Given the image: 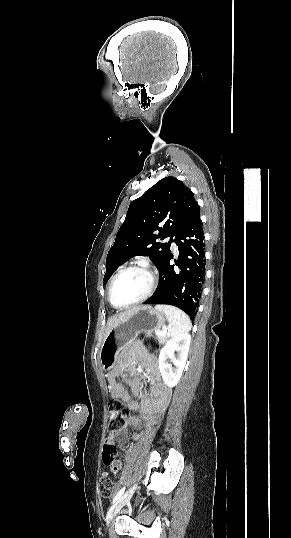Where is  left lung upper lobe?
Here are the masks:
<instances>
[{
	"mask_svg": "<svg viewBox=\"0 0 291 538\" xmlns=\"http://www.w3.org/2000/svg\"><path fill=\"white\" fill-rule=\"evenodd\" d=\"M199 209L194 194L180 180L166 177L134 200L106 258L103 285L114 271L133 256H148L159 269L172 237ZM158 230V235L153 234ZM170 236L168 243L156 239Z\"/></svg>",
	"mask_w": 291,
	"mask_h": 538,
	"instance_id": "5c2ea615",
	"label": "left lung upper lobe"
}]
</instances>
